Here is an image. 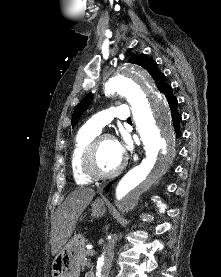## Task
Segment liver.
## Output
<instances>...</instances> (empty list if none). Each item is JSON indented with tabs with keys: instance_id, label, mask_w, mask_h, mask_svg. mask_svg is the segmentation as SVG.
Segmentation results:
<instances>
[{
	"instance_id": "6515ba94",
	"label": "liver",
	"mask_w": 221,
	"mask_h": 277,
	"mask_svg": "<svg viewBox=\"0 0 221 277\" xmlns=\"http://www.w3.org/2000/svg\"><path fill=\"white\" fill-rule=\"evenodd\" d=\"M95 191L91 188H80L71 192L57 208L51 230V253L56 255L71 237L76 223L90 204Z\"/></svg>"
}]
</instances>
